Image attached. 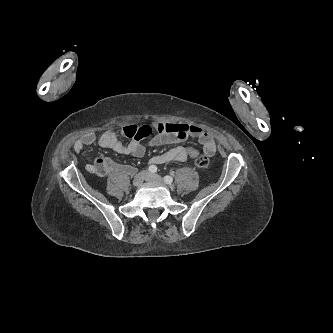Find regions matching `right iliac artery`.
<instances>
[{
	"mask_svg": "<svg viewBox=\"0 0 333 333\" xmlns=\"http://www.w3.org/2000/svg\"><path fill=\"white\" fill-rule=\"evenodd\" d=\"M148 170L151 172V173H155L157 171V167L155 165H151L149 166Z\"/></svg>",
	"mask_w": 333,
	"mask_h": 333,
	"instance_id": "82829eb1",
	"label": "right iliac artery"
}]
</instances>
